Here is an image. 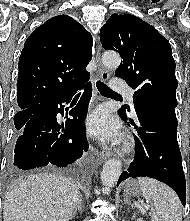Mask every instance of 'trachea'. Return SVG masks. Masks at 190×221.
Wrapping results in <instances>:
<instances>
[{"instance_id":"trachea-1","label":"trachea","mask_w":190,"mask_h":221,"mask_svg":"<svg viewBox=\"0 0 190 221\" xmlns=\"http://www.w3.org/2000/svg\"><path fill=\"white\" fill-rule=\"evenodd\" d=\"M97 89L102 95H117L114 91H112L108 86H106L103 82H96ZM80 94V93H79ZM78 94V95H79Z\"/></svg>"}]
</instances>
